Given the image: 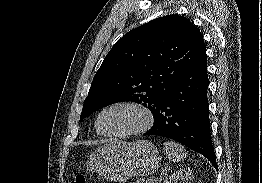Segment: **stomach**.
Returning <instances> with one entry per match:
<instances>
[{
  "label": "stomach",
  "mask_w": 262,
  "mask_h": 183,
  "mask_svg": "<svg viewBox=\"0 0 262 183\" xmlns=\"http://www.w3.org/2000/svg\"><path fill=\"white\" fill-rule=\"evenodd\" d=\"M159 165L158 149L153 143L145 140H110L97 148L86 162L87 170L116 182L152 174Z\"/></svg>",
  "instance_id": "1"
}]
</instances>
